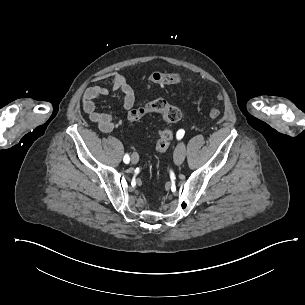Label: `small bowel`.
Masks as SVG:
<instances>
[{"instance_id":"obj_1","label":"small bowel","mask_w":305,"mask_h":305,"mask_svg":"<svg viewBox=\"0 0 305 305\" xmlns=\"http://www.w3.org/2000/svg\"><path fill=\"white\" fill-rule=\"evenodd\" d=\"M98 80H110L113 90L123 95L122 109L129 113L135 106L136 96L133 88L128 84L125 77L118 72H109L98 76ZM108 94V89L102 86L89 88L82 97V108L89 120L97 125L103 133L111 132L115 126L114 118L104 112L96 110V100Z\"/></svg>"}]
</instances>
